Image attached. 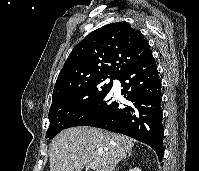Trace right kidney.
<instances>
[{"label":"right kidney","instance_id":"right-kidney-1","mask_svg":"<svg viewBox=\"0 0 199 171\" xmlns=\"http://www.w3.org/2000/svg\"><path fill=\"white\" fill-rule=\"evenodd\" d=\"M129 171H141V169L135 167V168H133V169H130Z\"/></svg>","mask_w":199,"mask_h":171}]
</instances>
